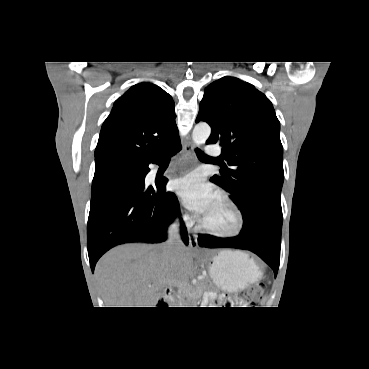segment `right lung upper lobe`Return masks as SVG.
I'll use <instances>...</instances> for the list:
<instances>
[{"mask_svg": "<svg viewBox=\"0 0 369 369\" xmlns=\"http://www.w3.org/2000/svg\"><path fill=\"white\" fill-rule=\"evenodd\" d=\"M172 97L149 82L132 86L118 98L104 121L95 165L156 157L179 141Z\"/></svg>", "mask_w": 369, "mask_h": 369, "instance_id": "obj_1", "label": "right lung upper lobe"}]
</instances>
